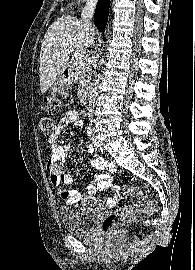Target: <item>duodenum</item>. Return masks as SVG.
Wrapping results in <instances>:
<instances>
[{
  "label": "duodenum",
  "mask_w": 195,
  "mask_h": 270,
  "mask_svg": "<svg viewBox=\"0 0 195 270\" xmlns=\"http://www.w3.org/2000/svg\"><path fill=\"white\" fill-rule=\"evenodd\" d=\"M70 76H71L70 69H69V68H66V69L64 70V77H65L66 79H69ZM80 97H81V100H82V101H86V99H87V91H86V90H83V91L81 92Z\"/></svg>",
  "instance_id": "duodenum-1"
}]
</instances>
